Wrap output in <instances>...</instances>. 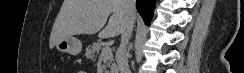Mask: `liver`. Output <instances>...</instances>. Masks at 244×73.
<instances>
[{
	"instance_id": "liver-1",
	"label": "liver",
	"mask_w": 244,
	"mask_h": 73,
	"mask_svg": "<svg viewBox=\"0 0 244 73\" xmlns=\"http://www.w3.org/2000/svg\"><path fill=\"white\" fill-rule=\"evenodd\" d=\"M126 22L121 0H64L51 31L49 47L52 49L73 35L99 32L100 38L115 37L123 32Z\"/></svg>"
}]
</instances>
